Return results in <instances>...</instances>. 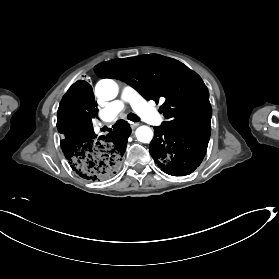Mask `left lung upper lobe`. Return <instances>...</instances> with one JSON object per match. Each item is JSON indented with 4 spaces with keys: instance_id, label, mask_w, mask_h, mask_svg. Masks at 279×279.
I'll list each match as a JSON object with an SVG mask.
<instances>
[{
    "instance_id": "obj_1",
    "label": "left lung upper lobe",
    "mask_w": 279,
    "mask_h": 279,
    "mask_svg": "<svg viewBox=\"0 0 279 279\" xmlns=\"http://www.w3.org/2000/svg\"><path fill=\"white\" fill-rule=\"evenodd\" d=\"M94 71L101 78L126 82L147 100H165L159 110L167 119L163 128L210 134L209 92L200 76L181 62L158 54L140 55L98 64Z\"/></svg>"
}]
</instances>
